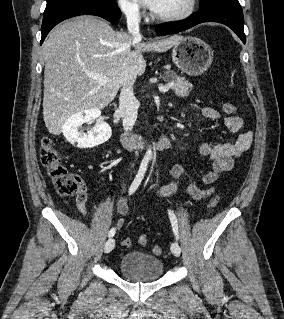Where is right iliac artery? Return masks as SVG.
<instances>
[{"label":"right iliac artery","instance_id":"1","mask_svg":"<svg viewBox=\"0 0 284 319\" xmlns=\"http://www.w3.org/2000/svg\"><path fill=\"white\" fill-rule=\"evenodd\" d=\"M148 159H144L140 165V168H139V171L134 179V181L132 182L130 188H129V195L133 194L138 186L140 185L145 173H146V170H147V166H148ZM115 234V229L112 228L110 229L109 233H108V236L109 237H113Z\"/></svg>","mask_w":284,"mask_h":319}]
</instances>
